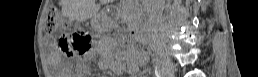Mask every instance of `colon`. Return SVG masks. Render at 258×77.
<instances>
[{"instance_id":"5ec220e1","label":"colon","mask_w":258,"mask_h":77,"mask_svg":"<svg viewBox=\"0 0 258 77\" xmlns=\"http://www.w3.org/2000/svg\"><path fill=\"white\" fill-rule=\"evenodd\" d=\"M59 26H67V23H60L54 10L48 12L45 21V30L53 33ZM60 47L65 52L83 53L90 49L92 37L84 31H74L66 37H62L59 41ZM133 53L144 52L146 45L142 40H134L131 45Z\"/></svg>"}]
</instances>
